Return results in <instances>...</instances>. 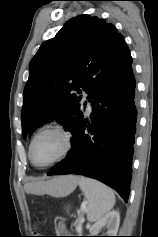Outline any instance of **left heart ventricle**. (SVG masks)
<instances>
[{"mask_svg":"<svg viewBox=\"0 0 158 237\" xmlns=\"http://www.w3.org/2000/svg\"><path fill=\"white\" fill-rule=\"evenodd\" d=\"M64 139L57 132H45L37 137L32 149L34 161L43 165L58 157L64 149Z\"/></svg>","mask_w":158,"mask_h":237,"instance_id":"left-heart-ventricle-1","label":"left heart ventricle"}]
</instances>
